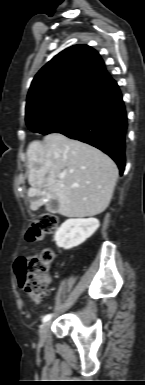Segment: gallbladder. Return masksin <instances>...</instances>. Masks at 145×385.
I'll use <instances>...</instances> for the list:
<instances>
[{
	"instance_id": "obj_1",
	"label": "gallbladder",
	"mask_w": 145,
	"mask_h": 385,
	"mask_svg": "<svg viewBox=\"0 0 145 385\" xmlns=\"http://www.w3.org/2000/svg\"><path fill=\"white\" fill-rule=\"evenodd\" d=\"M59 204L57 200H50L46 204V210L51 213H56L58 211Z\"/></svg>"
}]
</instances>
